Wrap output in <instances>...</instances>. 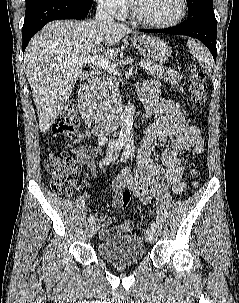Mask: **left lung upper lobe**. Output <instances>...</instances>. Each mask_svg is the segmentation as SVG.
Returning a JSON list of instances; mask_svg holds the SVG:
<instances>
[{
    "label": "left lung upper lobe",
    "mask_w": 239,
    "mask_h": 303,
    "mask_svg": "<svg viewBox=\"0 0 239 303\" xmlns=\"http://www.w3.org/2000/svg\"><path fill=\"white\" fill-rule=\"evenodd\" d=\"M188 18L200 12L213 11V0H187Z\"/></svg>",
    "instance_id": "left-lung-upper-lobe-1"
}]
</instances>
